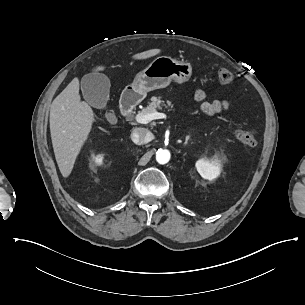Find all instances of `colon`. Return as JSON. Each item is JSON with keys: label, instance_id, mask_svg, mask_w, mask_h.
Returning a JSON list of instances; mask_svg holds the SVG:
<instances>
[{"label": "colon", "instance_id": "1", "mask_svg": "<svg viewBox=\"0 0 305 305\" xmlns=\"http://www.w3.org/2000/svg\"><path fill=\"white\" fill-rule=\"evenodd\" d=\"M216 80L222 86H228L233 81V75L230 70L220 67L216 70ZM234 137L241 143L248 144L250 146H256L258 144L257 132L254 130H232Z\"/></svg>", "mask_w": 305, "mask_h": 305}]
</instances>
